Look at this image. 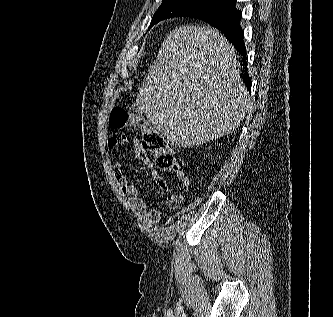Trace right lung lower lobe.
<instances>
[{
  "instance_id": "1",
  "label": "right lung lower lobe",
  "mask_w": 333,
  "mask_h": 317,
  "mask_svg": "<svg viewBox=\"0 0 333 317\" xmlns=\"http://www.w3.org/2000/svg\"><path fill=\"white\" fill-rule=\"evenodd\" d=\"M241 16L242 12L235 8V3H230L217 10L193 17L203 20L219 29L229 42L241 53L243 56L242 62L246 64V48L243 41L244 32L240 26ZM243 81L248 90L251 91L252 82L248 74L244 75Z\"/></svg>"
}]
</instances>
